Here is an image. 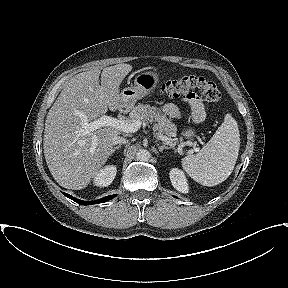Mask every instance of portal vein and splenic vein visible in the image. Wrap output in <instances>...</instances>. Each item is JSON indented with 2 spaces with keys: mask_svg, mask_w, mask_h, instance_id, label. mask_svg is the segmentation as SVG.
Wrapping results in <instances>:
<instances>
[{
  "mask_svg": "<svg viewBox=\"0 0 288 288\" xmlns=\"http://www.w3.org/2000/svg\"><path fill=\"white\" fill-rule=\"evenodd\" d=\"M142 123L139 120H135L132 122H125L110 116H106L103 115L101 118L93 121V122H89L88 119L86 117H83L82 119V133L83 134H88V133H92L95 130L101 128V127H105V126H110L113 128H116L122 132H126V133H135L136 131H138V129H140ZM157 135L158 138H160L161 140L165 141L166 144L168 145H174L173 139L171 138H167L164 137L162 134H160L159 132L155 133ZM97 146V141L95 139V137H93L92 140V150H94Z\"/></svg>",
  "mask_w": 288,
  "mask_h": 288,
  "instance_id": "1",
  "label": "portal vein and splenic vein"
}]
</instances>
